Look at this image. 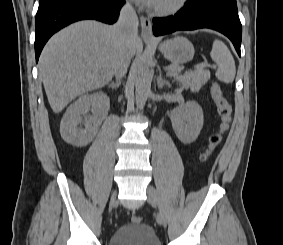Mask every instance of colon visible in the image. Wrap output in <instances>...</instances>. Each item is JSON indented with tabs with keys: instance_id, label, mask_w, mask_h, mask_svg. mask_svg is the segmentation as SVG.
Wrapping results in <instances>:
<instances>
[{
	"instance_id": "obj_1",
	"label": "colon",
	"mask_w": 283,
	"mask_h": 245,
	"mask_svg": "<svg viewBox=\"0 0 283 245\" xmlns=\"http://www.w3.org/2000/svg\"><path fill=\"white\" fill-rule=\"evenodd\" d=\"M210 92L220 116L221 124L219 130L210 137L207 149L200 156L201 162H206L214 152V150L217 148V146L221 143L223 136L230 127L232 120V107L228 100L225 98L220 85L213 84ZM131 221L133 223H141L142 219L138 215H133Z\"/></svg>"
}]
</instances>
